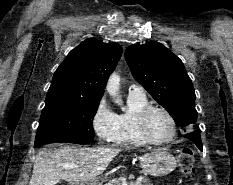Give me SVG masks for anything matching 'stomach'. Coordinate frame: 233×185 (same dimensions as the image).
Returning a JSON list of instances; mask_svg holds the SVG:
<instances>
[{"label":"stomach","instance_id":"1","mask_svg":"<svg viewBox=\"0 0 233 185\" xmlns=\"http://www.w3.org/2000/svg\"><path fill=\"white\" fill-rule=\"evenodd\" d=\"M175 157L167 151L156 150L140 157V167L146 174L164 176L176 168ZM74 185H96L93 182H79Z\"/></svg>","mask_w":233,"mask_h":185}]
</instances>
